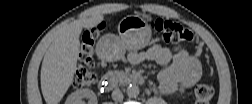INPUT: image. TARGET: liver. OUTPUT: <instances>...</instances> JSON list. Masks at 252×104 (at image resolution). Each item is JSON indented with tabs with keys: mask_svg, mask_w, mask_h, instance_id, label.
I'll use <instances>...</instances> for the list:
<instances>
[{
	"mask_svg": "<svg viewBox=\"0 0 252 104\" xmlns=\"http://www.w3.org/2000/svg\"><path fill=\"white\" fill-rule=\"evenodd\" d=\"M104 17L96 14L59 28L48 47L41 67V90L48 104H57L69 89L76 71L83 28H92Z\"/></svg>",
	"mask_w": 252,
	"mask_h": 104,
	"instance_id": "6515ba94",
	"label": "liver"
}]
</instances>
